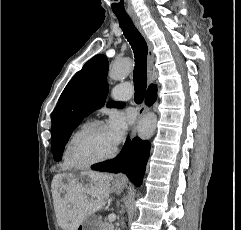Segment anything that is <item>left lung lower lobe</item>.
<instances>
[{"label":"left lung lower lobe","instance_id":"1","mask_svg":"<svg viewBox=\"0 0 241 230\" xmlns=\"http://www.w3.org/2000/svg\"><path fill=\"white\" fill-rule=\"evenodd\" d=\"M150 155V143L140 138L132 141L128 138L121 153L114 159L92 166L93 170L124 173L136 185L140 186Z\"/></svg>","mask_w":241,"mask_h":230}]
</instances>
